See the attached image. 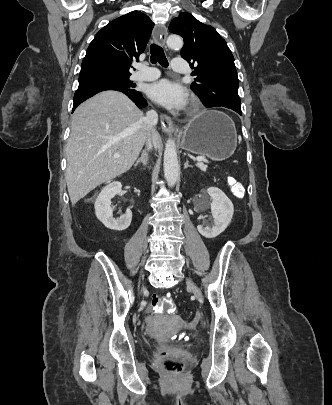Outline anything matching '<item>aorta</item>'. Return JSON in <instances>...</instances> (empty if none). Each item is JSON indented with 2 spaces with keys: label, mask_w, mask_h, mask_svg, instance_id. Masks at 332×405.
<instances>
[{
  "label": "aorta",
  "mask_w": 332,
  "mask_h": 405,
  "mask_svg": "<svg viewBox=\"0 0 332 405\" xmlns=\"http://www.w3.org/2000/svg\"><path fill=\"white\" fill-rule=\"evenodd\" d=\"M169 48L179 50L183 47V39L178 35H170L167 39ZM164 176L169 187L175 186L179 177V163L175 142L169 139L164 150Z\"/></svg>",
  "instance_id": "obj_1"
}]
</instances>
